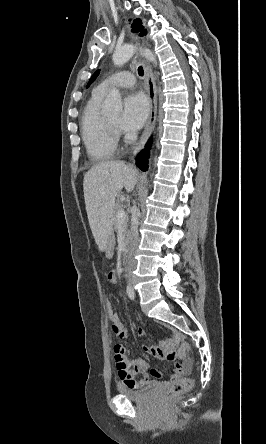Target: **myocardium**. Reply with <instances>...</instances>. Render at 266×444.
<instances>
[{
  "mask_svg": "<svg viewBox=\"0 0 266 444\" xmlns=\"http://www.w3.org/2000/svg\"><path fill=\"white\" fill-rule=\"evenodd\" d=\"M107 129L109 134L112 136V138L117 141L120 137V129L119 126L115 123H112L108 118H107Z\"/></svg>",
  "mask_w": 266,
  "mask_h": 444,
  "instance_id": "myocardium-1",
  "label": "myocardium"
}]
</instances>
